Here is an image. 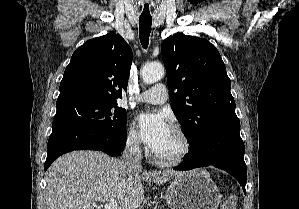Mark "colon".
<instances>
[{
  "mask_svg": "<svg viewBox=\"0 0 299 209\" xmlns=\"http://www.w3.org/2000/svg\"><path fill=\"white\" fill-rule=\"evenodd\" d=\"M221 209H235V198H228L222 205Z\"/></svg>",
  "mask_w": 299,
  "mask_h": 209,
  "instance_id": "colon-1",
  "label": "colon"
}]
</instances>
